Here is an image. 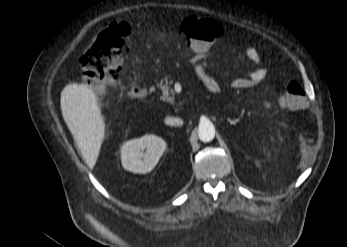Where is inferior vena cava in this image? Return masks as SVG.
Wrapping results in <instances>:
<instances>
[{
    "label": "inferior vena cava",
    "mask_w": 347,
    "mask_h": 247,
    "mask_svg": "<svg viewBox=\"0 0 347 247\" xmlns=\"http://www.w3.org/2000/svg\"><path fill=\"white\" fill-rule=\"evenodd\" d=\"M166 122L169 125H182L183 121L179 118H166Z\"/></svg>",
    "instance_id": "obj_1"
}]
</instances>
